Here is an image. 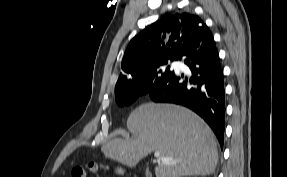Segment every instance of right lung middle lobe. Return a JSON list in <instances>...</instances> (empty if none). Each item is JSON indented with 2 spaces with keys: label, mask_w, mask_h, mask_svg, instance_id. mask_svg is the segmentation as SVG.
<instances>
[{
  "label": "right lung middle lobe",
  "mask_w": 287,
  "mask_h": 177,
  "mask_svg": "<svg viewBox=\"0 0 287 177\" xmlns=\"http://www.w3.org/2000/svg\"><path fill=\"white\" fill-rule=\"evenodd\" d=\"M170 61L174 60H165L155 64L136 85L115 87L117 104L121 107L131 105L140 96L147 94L154 85L167 78L173 72L168 65Z\"/></svg>",
  "instance_id": "obj_1"
}]
</instances>
